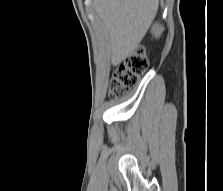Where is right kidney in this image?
<instances>
[{"label": "right kidney", "instance_id": "ca27d5eb", "mask_svg": "<svg viewBox=\"0 0 223 191\" xmlns=\"http://www.w3.org/2000/svg\"><path fill=\"white\" fill-rule=\"evenodd\" d=\"M162 31V27L159 26L158 24H156L154 27H153V33L155 34V36H158Z\"/></svg>", "mask_w": 223, "mask_h": 191}]
</instances>
